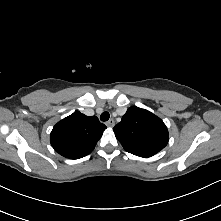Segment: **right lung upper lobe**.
Masks as SVG:
<instances>
[{"instance_id": "right-lung-upper-lobe-1", "label": "right lung upper lobe", "mask_w": 221, "mask_h": 221, "mask_svg": "<svg viewBox=\"0 0 221 221\" xmlns=\"http://www.w3.org/2000/svg\"><path fill=\"white\" fill-rule=\"evenodd\" d=\"M105 129L96 116L89 117L75 111L53 127L50 142L62 156L79 159L95 148Z\"/></svg>"}]
</instances>
